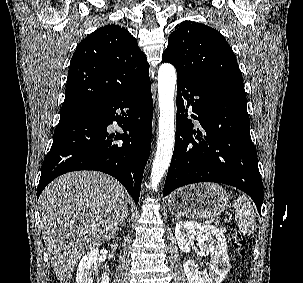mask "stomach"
Wrapping results in <instances>:
<instances>
[{
	"label": "stomach",
	"instance_id": "1",
	"mask_svg": "<svg viewBox=\"0 0 303 283\" xmlns=\"http://www.w3.org/2000/svg\"><path fill=\"white\" fill-rule=\"evenodd\" d=\"M228 195L215 183L190 185L175 191L169 198V210L177 216L210 218L220 215L228 205Z\"/></svg>",
	"mask_w": 303,
	"mask_h": 283
}]
</instances>
